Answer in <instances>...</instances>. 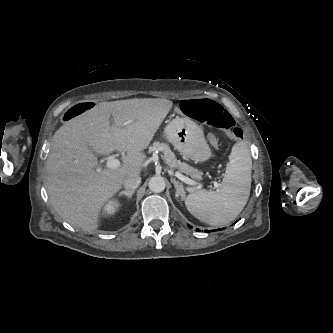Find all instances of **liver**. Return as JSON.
Returning <instances> with one entry per match:
<instances>
[{"label": "liver", "instance_id": "liver-1", "mask_svg": "<svg viewBox=\"0 0 333 333\" xmlns=\"http://www.w3.org/2000/svg\"><path fill=\"white\" fill-rule=\"evenodd\" d=\"M172 106L170 100L149 98L101 102L65 122L53 135L46 161V189L55 211L74 227L96 231L101 209L124 178L140 174L143 151ZM114 150L127 153L123 164L95 170V154Z\"/></svg>", "mask_w": 333, "mask_h": 333}]
</instances>
